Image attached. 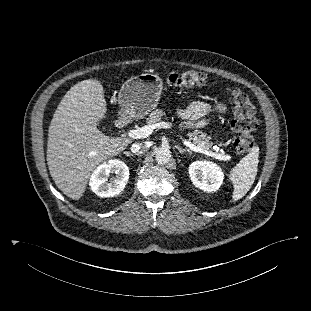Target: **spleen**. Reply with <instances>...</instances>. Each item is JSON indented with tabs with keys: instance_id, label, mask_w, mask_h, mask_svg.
I'll return each instance as SVG.
<instances>
[{
	"instance_id": "1",
	"label": "spleen",
	"mask_w": 311,
	"mask_h": 311,
	"mask_svg": "<svg viewBox=\"0 0 311 311\" xmlns=\"http://www.w3.org/2000/svg\"><path fill=\"white\" fill-rule=\"evenodd\" d=\"M258 158L259 147L253 146L249 154L231 170L229 177L234 186L233 201L241 199L253 185L258 171Z\"/></svg>"
}]
</instances>
